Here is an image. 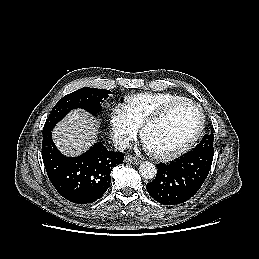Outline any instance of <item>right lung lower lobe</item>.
Here are the masks:
<instances>
[{
	"instance_id": "obj_1",
	"label": "right lung lower lobe",
	"mask_w": 259,
	"mask_h": 259,
	"mask_svg": "<svg viewBox=\"0 0 259 259\" xmlns=\"http://www.w3.org/2000/svg\"><path fill=\"white\" fill-rule=\"evenodd\" d=\"M122 152L109 151L101 142L78 157H66L52 140L51 131L43 134L42 159L47 175L67 200L77 204L101 198L111 183V170L123 163Z\"/></svg>"
}]
</instances>
